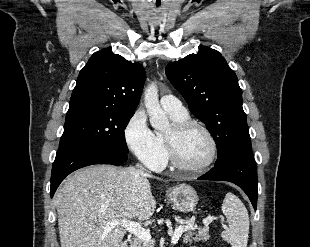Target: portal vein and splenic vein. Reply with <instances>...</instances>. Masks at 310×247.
I'll use <instances>...</instances> for the list:
<instances>
[{"label": "portal vein and splenic vein", "instance_id": "portal-vein-and-splenic-vein-1", "mask_svg": "<svg viewBox=\"0 0 310 247\" xmlns=\"http://www.w3.org/2000/svg\"><path fill=\"white\" fill-rule=\"evenodd\" d=\"M122 226L125 230L128 232L134 234L139 239L143 240L144 242H151V235L149 230H146L145 228H142L138 223L133 221H118V220H112L108 222V224L105 227V230H111L112 228L116 226ZM191 229H196V226L193 225H186V226H179L176 228L174 233L171 236V243L176 244L181 237L182 233Z\"/></svg>", "mask_w": 310, "mask_h": 247}]
</instances>
